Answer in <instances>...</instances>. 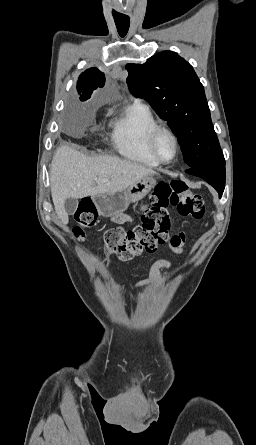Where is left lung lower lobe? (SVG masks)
<instances>
[{
	"label": "left lung lower lobe",
	"instance_id": "1",
	"mask_svg": "<svg viewBox=\"0 0 256 445\" xmlns=\"http://www.w3.org/2000/svg\"><path fill=\"white\" fill-rule=\"evenodd\" d=\"M188 174L203 178L222 196L225 188V164L202 165L186 170Z\"/></svg>",
	"mask_w": 256,
	"mask_h": 445
}]
</instances>
